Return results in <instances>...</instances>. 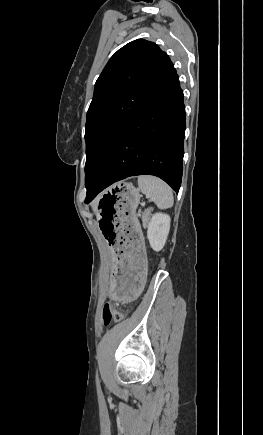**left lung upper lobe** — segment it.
<instances>
[{
	"mask_svg": "<svg viewBox=\"0 0 263 435\" xmlns=\"http://www.w3.org/2000/svg\"><path fill=\"white\" fill-rule=\"evenodd\" d=\"M175 74L169 56L144 39L126 44L111 57L95 83L87 112L86 188L129 124Z\"/></svg>",
	"mask_w": 263,
	"mask_h": 435,
	"instance_id": "5c2ea615",
	"label": "left lung upper lobe"
}]
</instances>
